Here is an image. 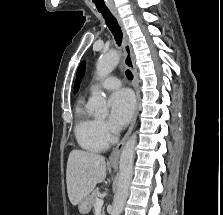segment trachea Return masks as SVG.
Segmentation results:
<instances>
[{
    "instance_id": "1",
    "label": "trachea",
    "mask_w": 223,
    "mask_h": 215,
    "mask_svg": "<svg viewBox=\"0 0 223 215\" xmlns=\"http://www.w3.org/2000/svg\"><path fill=\"white\" fill-rule=\"evenodd\" d=\"M98 11L103 15V18L105 19L106 24L109 27V30L114 35L117 45L120 46L122 43L123 34L116 18L113 17L112 13L108 9L98 10ZM126 77L129 80H133V73H131L130 70H126Z\"/></svg>"
}]
</instances>
